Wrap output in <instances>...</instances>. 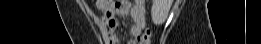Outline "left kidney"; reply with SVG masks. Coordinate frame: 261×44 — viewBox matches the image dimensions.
I'll return each mask as SVG.
<instances>
[{
  "label": "left kidney",
  "instance_id": "obj_1",
  "mask_svg": "<svg viewBox=\"0 0 261 44\" xmlns=\"http://www.w3.org/2000/svg\"><path fill=\"white\" fill-rule=\"evenodd\" d=\"M172 0H153L151 18L154 24L160 25L167 19Z\"/></svg>",
  "mask_w": 261,
  "mask_h": 44
}]
</instances>
